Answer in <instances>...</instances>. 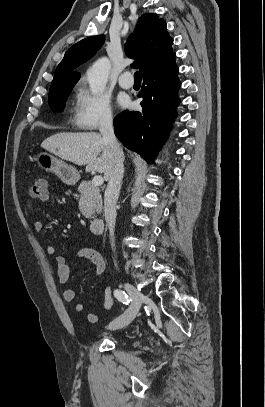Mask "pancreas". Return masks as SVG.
Segmentation results:
<instances>
[{
    "mask_svg": "<svg viewBox=\"0 0 265 407\" xmlns=\"http://www.w3.org/2000/svg\"><path fill=\"white\" fill-rule=\"evenodd\" d=\"M80 193L79 210L86 217L91 218L102 211V197L98 186L90 181H83L78 187Z\"/></svg>",
    "mask_w": 265,
    "mask_h": 407,
    "instance_id": "obj_1",
    "label": "pancreas"
}]
</instances>
